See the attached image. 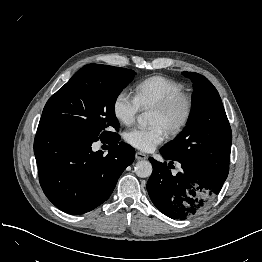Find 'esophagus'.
Wrapping results in <instances>:
<instances>
[{
  "label": "esophagus",
  "mask_w": 262,
  "mask_h": 262,
  "mask_svg": "<svg viewBox=\"0 0 262 262\" xmlns=\"http://www.w3.org/2000/svg\"><path fill=\"white\" fill-rule=\"evenodd\" d=\"M135 158H136V160H146L147 159V155L142 153V152H136L135 153Z\"/></svg>",
  "instance_id": "obj_1"
}]
</instances>
